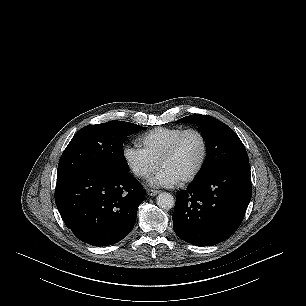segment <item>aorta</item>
Returning a JSON list of instances; mask_svg holds the SVG:
<instances>
[{
    "mask_svg": "<svg viewBox=\"0 0 306 306\" xmlns=\"http://www.w3.org/2000/svg\"><path fill=\"white\" fill-rule=\"evenodd\" d=\"M174 204V197L170 193L162 192L157 196V205L164 210L173 208Z\"/></svg>",
    "mask_w": 306,
    "mask_h": 306,
    "instance_id": "762f6f07",
    "label": "aorta"
}]
</instances>
